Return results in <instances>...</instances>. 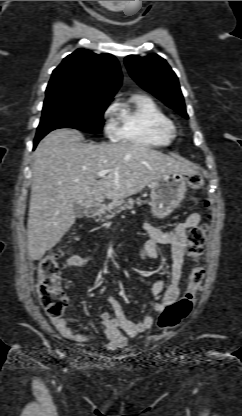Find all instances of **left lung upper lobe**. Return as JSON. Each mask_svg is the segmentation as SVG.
<instances>
[{
    "label": "left lung upper lobe",
    "instance_id": "left-lung-upper-lobe-1",
    "mask_svg": "<svg viewBox=\"0 0 242 416\" xmlns=\"http://www.w3.org/2000/svg\"><path fill=\"white\" fill-rule=\"evenodd\" d=\"M125 64L130 76L140 87L188 118L178 78L163 58L157 54L147 57L129 55L125 58Z\"/></svg>",
    "mask_w": 242,
    "mask_h": 416
}]
</instances>
